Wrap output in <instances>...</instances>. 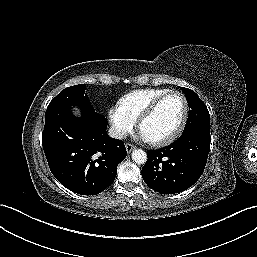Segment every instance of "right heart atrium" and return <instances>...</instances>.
Masks as SVG:
<instances>
[{
  "instance_id": "right-heart-atrium-1",
  "label": "right heart atrium",
  "mask_w": 257,
  "mask_h": 257,
  "mask_svg": "<svg viewBox=\"0 0 257 257\" xmlns=\"http://www.w3.org/2000/svg\"><path fill=\"white\" fill-rule=\"evenodd\" d=\"M113 135L118 139L125 138L135 127L132 119L120 103L114 104L108 111Z\"/></svg>"
}]
</instances>
